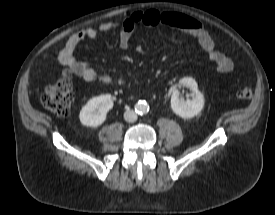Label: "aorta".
<instances>
[{
    "label": "aorta",
    "instance_id": "762f6f07",
    "mask_svg": "<svg viewBox=\"0 0 275 215\" xmlns=\"http://www.w3.org/2000/svg\"><path fill=\"white\" fill-rule=\"evenodd\" d=\"M136 109L140 114H145L149 111V105L145 101H140L137 103Z\"/></svg>",
    "mask_w": 275,
    "mask_h": 215
}]
</instances>
